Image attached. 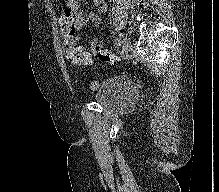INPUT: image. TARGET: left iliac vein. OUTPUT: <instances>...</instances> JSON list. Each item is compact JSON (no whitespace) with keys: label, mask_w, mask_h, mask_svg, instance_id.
Listing matches in <instances>:
<instances>
[{"label":"left iliac vein","mask_w":219,"mask_h":192,"mask_svg":"<svg viewBox=\"0 0 219 192\" xmlns=\"http://www.w3.org/2000/svg\"><path fill=\"white\" fill-rule=\"evenodd\" d=\"M131 49V42L127 37H124L122 40V46H121V55L126 56Z\"/></svg>","instance_id":"4c4485c4"}]
</instances>
